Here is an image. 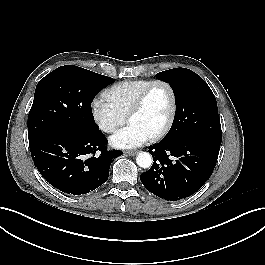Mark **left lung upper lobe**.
Here are the masks:
<instances>
[{
    "label": "left lung upper lobe",
    "instance_id": "1",
    "mask_svg": "<svg viewBox=\"0 0 265 265\" xmlns=\"http://www.w3.org/2000/svg\"><path fill=\"white\" fill-rule=\"evenodd\" d=\"M156 78L170 84L177 107L172 127L161 141L199 135L221 142L217 102L199 75L186 68H174L157 73Z\"/></svg>",
    "mask_w": 265,
    "mask_h": 265
}]
</instances>
